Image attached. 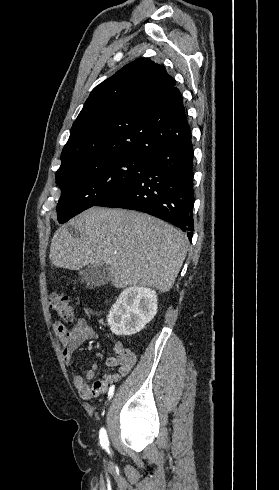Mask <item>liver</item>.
Wrapping results in <instances>:
<instances>
[{
  "label": "liver",
  "mask_w": 279,
  "mask_h": 490,
  "mask_svg": "<svg viewBox=\"0 0 279 490\" xmlns=\"http://www.w3.org/2000/svg\"><path fill=\"white\" fill-rule=\"evenodd\" d=\"M73 226L80 240L67 232ZM188 238L163 220L121 208H89L56 230L49 258L55 268L109 266L115 288L171 290L186 258Z\"/></svg>",
  "instance_id": "1"
}]
</instances>
